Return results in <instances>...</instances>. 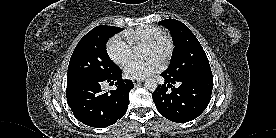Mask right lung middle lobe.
<instances>
[{
    "instance_id": "dd1d6c3e",
    "label": "right lung middle lobe",
    "mask_w": 276,
    "mask_h": 138,
    "mask_svg": "<svg viewBox=\"0 0 276 138\" xmlns=\"http://www.w3.org/2000/svg\"><path fill=\"white\" fill-rule=\"evenodd\" d=\"M121 30L119 27L100 25L79 41L69 62L67 85L106 78L119 70L106 52V43Z\"/></svg>"
}]
</instances>
